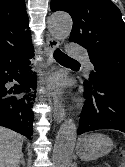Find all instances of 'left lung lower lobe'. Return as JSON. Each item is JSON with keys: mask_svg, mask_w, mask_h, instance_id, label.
I'll return each mask as SVG.
<instances>
[{"mask_svg": "<svg viewBox=\"0 0 125 167\" xmlns=\"http://www.w3.org/2000/svg\"><path fill=\"white\" fill-rule=\"evenodd\" d=\"M84 89L85 103L78 135L98 129L125 133V77L100 76Z\"/></svg>", "mask_w": 125, "mask_h": 167, "instance_id": "0a47b994", "label": "left lung lower lobe"}]
</instances>
